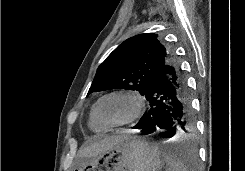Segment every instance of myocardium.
I'll list each match as a JSON object with an SVG mask.
<instances>
[{
	"label": "myocardium",
	"mask_w": 245,
	"mask_h": 171,
	"mask_svg": "<svg viewBox=\"0 0 245 171\" xmlns=\"http://www.w3.org/2000/svg\"><path fill=\"white\" fill-rule=\"evenodd\" d=\"M112 96H124L130 98L134 102V109L130 116L123 121L117 123H108L102 119L99 114V106L103 100ZM145 110V100L144 97L137 91L133 89H118L111 92H108L101 96L94 105V115L95 118L105 127L107 128H117L129 125L136 120H138Z\"/></svg>",
	"instance_id": "1"
}]
</instances>
